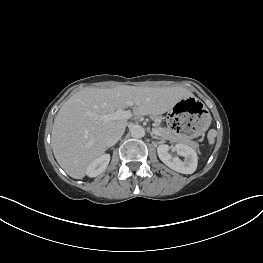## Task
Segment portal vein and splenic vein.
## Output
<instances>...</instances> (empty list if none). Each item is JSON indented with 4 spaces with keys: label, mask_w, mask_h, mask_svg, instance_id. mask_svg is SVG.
<instances>
[{
    "label": "portal vein and splenic vein",
    "mask_w": 263,
    "mask_h": 263,
    "mask_svg": "<svg viewBox=\"0 0 263 263\" xmlns=\"http://www.w3.org/2000/svg\"><path fill=\"white\" fill-rule=\"evenodd\" d=\"M127 104H128V106H132V105H133V102L129 101ZM131 117H132L131 111H126V110H123V109H118V110H116V111L113 112V113H110V114H106V115L101 116V119H102L104 122H110V121L119 120V119H130ZM153 132H154L156 135H160V132H159L156 128L153 129Z\"/></svg>",
    "instance_id": "18ae733b"
}]
</instances>
